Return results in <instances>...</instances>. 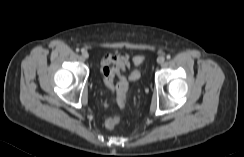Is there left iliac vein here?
<instances>
[{
    "instance_id": "4c4485c4",
    "label": "left iliac vein",
    "mask_w": 244,
    "mask_h": 157,
    "mask_svg": "<svg viewBox=\"0 0 244 157\" xmlns=\"http://www.w3.org/2000/svg\"><path fill=\"white\" fill-rule=\"evenodd\" d=\"M157 62L159 64H163L165 62V58L163 56L158 57Z\"/></svg>"
}]
</instances>
